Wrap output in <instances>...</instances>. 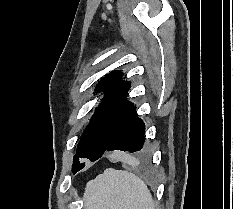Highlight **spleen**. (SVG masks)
<instances>
[{"label": "spleen", "instance_id": "spleen-1", "mask_svg": "<svg viewBox=\"0 0 233 209\" xmlns=\"http://www.w3.org/2000/svg\"><path fill=\"white\" fill-rule=\"evenodd\" d=\"M84 202L85 209H155L151 193L141 178L112 168L87 183Z\"/></svg>", "mask_w": 233, "mask_h": 209}]
</instances>
